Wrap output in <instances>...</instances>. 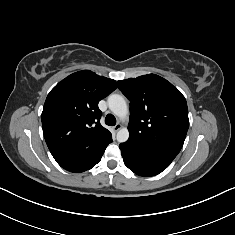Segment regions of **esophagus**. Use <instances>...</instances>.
Segmentation results:
<instances>
[{"instance_id": "1", "label": "esophagus", "mask_w": 235, "mask_h": 235, "mask_svg": "<svg viewBox=\"0 0 235 235\" xmlns=\"http://www.w3.org/2000/svg\"><path fill=\"white\" fill-rule=\"evenodd\" d=\"M121 128H122V124H120V123H117V124L113 127V129H114L115 132H117V131L120 130Z\"/></svg>"}]
</instances>
